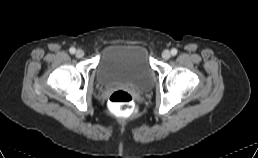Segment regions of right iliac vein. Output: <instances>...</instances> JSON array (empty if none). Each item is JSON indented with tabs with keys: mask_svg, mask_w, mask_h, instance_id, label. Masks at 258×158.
Here are the masks:
<instances>
[{
	"mask_svg": "<svg viewBox=\"0 0 258 158\" xmlns=\"http://www.w3.org/2000/svg\"><path fill=\"white\" fill-rule=\"evenodd\" d=\"M84 56V51L82 49H78L76 51V57L77 58H82Z\"/></svg>",
	"mask_w": 258,
	"mask_h": 158,
	"instance_id": "1",
	"label": "right iliac vein"
}]
</instances>
